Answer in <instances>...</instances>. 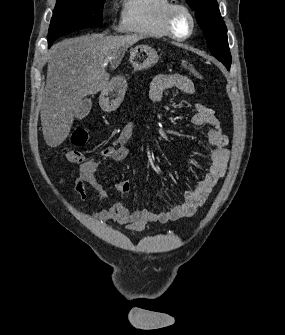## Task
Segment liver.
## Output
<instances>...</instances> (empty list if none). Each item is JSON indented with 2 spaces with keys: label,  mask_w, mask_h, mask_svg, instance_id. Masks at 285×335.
<instances>
[{
  "label": "liver",
  "mask_w": 285,
  "mask_h": 335,
  "mask_svg": "<svg viewBox=\"0 0 285 335\" xmlns=\"http://www.w3.org/2000/svg\"><path fill=\"white\" fill-rule=\"evenodd\" d=\"M138 40L143 36L91 34L52 46L41 112L47 146L57 148L66 140L83 98L101 92L109 84L107 64L117 68L125 52Z\"/></svg>",
  "instance_id": "liver-1"
}]
</instances>
